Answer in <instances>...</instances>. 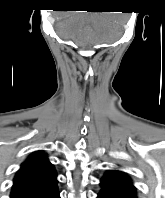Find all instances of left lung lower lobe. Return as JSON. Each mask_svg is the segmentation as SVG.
Returning <instances> with one entry per match:
<instances>
[{
    "label": "left lung lower lobe",
    "mask_w": 165,
    "mask_h": 198,
    "mask_svg": "<svg viewBox=\"0 0 165 198\" xmlns=\"http://www.w3.org/2000/svg\"><path fill=\"white\" fill-rule=\"evenodd\" d=\"M101 191L97 198H137L136 188L114 171H108L100 181Z\"/></svg>",
    "instance_id": "1"
}]
</instances>
